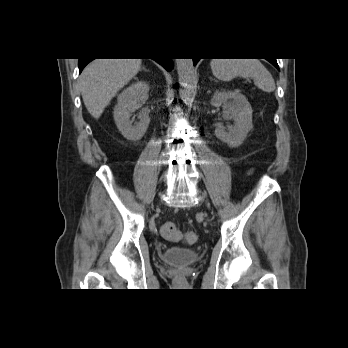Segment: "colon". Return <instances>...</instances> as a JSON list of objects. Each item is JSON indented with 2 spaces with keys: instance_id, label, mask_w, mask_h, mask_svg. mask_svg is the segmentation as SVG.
<instances>
[{
  "instance_id": "obj_1",
  "label": "colon",
  "mask_w": 348,
  "mask_h": 348,
  "mask_svg": "<svg viewBox=\"0 0 348 348\" xmlns=\"http://www.w3.org/2000/svg\"><path fill=\"white\" fill-rule=\"evenodd\" d=\"M160 232L163 238L170 241H178L184 239L188 244L193 245L198 241L196 232L189 231L184 235L177 229L172 222H165L160 227Z\"/></svg>"
}]
</instances>
